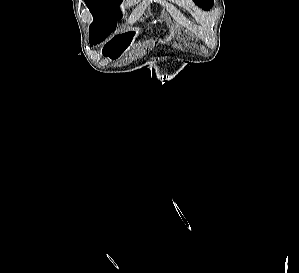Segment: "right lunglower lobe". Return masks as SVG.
Masks as SVG:
<instances>
[{"label": "right lung lower lobe", "mask_w": 299, "mask_h": 273, "mask_svg": "<svg viewBox=\"0 0 299 273\" xmlns=\"http://www.w3.org/2000/svg\"><path fill=\"white\" fill-rule=\"evenodd\" d=\"M91 45H95L94 43H90Z\"/></svg>", "instance_id": "98d812e1"}]
</instances>
